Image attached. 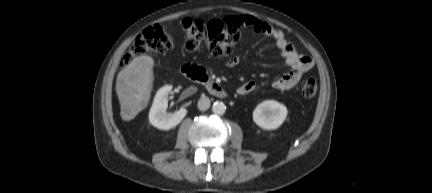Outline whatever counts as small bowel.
<instances>
[{
  "mask_svg": "<svg viewBox=\"0 0 432 193\" xmlns=\"http://www.w3.org/2000/svg\"><path fill=\"white\" fill-rule=\"evenodd\" d=\"M226 22L238 28H245L251 32L260 33L271 37L279 51L280 57L283 59L288 71L276 79L272 86L276 90L286 91L296 86L303 75L307 73L314 65L311 57L300 54L295 47L286 39L282 30L273 27L271 24L259 20L250 15L230 16L226 18ZM240 62V57L236 56L226 62L228 68L237 66ZM256 85L253 81H247L237 88L239 95H246L254 91Z\"/></svg>",
  "mask_w": 432,
  "mask_h": 193,
  "instance_id": "c3829d8e",
  "label": "small bowel"
}]
</instances>
